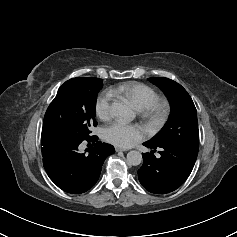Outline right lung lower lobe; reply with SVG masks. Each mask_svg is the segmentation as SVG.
I'll return each mask as SVG.
<instances>
[{
	"label": "right lung lower lobe",
	"instance_id": "obj_1",
	"mask_svg": "<svg viewBox=\"0 0 237 237\" xmlns=\"http://www.w3.org/2000/svg\"><path fill=\"white\" fill-rule=\"evenodd\" d=\"M96 136L74 139L58 131H42L41 145L44 168L50 179L62 190L72 194L86 192L97 182L104 160L115 152L113 146L96 142ZM82 141L96 142L80 153Z\"/></svg>",
	"mask_w": 237,
	"mask_h": 237
}]
</instances>
